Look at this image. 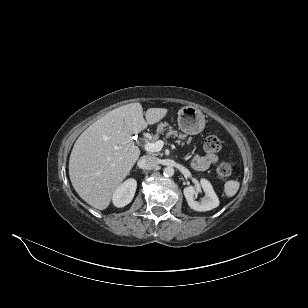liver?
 Listing matches in <instances>:
<instances>
[{
	"mask_svg": "<svg viewBox=\"0 0 308 308\" xmlns=\"http://www.w3.org/2000/svg\"><path fill=\"white\" fill-rule=\"evenodd\" d=\"M166 108L130 103L90 125L76 140L69 159V176L78 195L99 210L106 209L115 191L140 156L132 135L163 119Z\"/></svg>",
	"mask_w": 308,
	"mask_h": 308,
	"instance_id": "6515ba94",
	"label": "liver"
}]
</instances>
